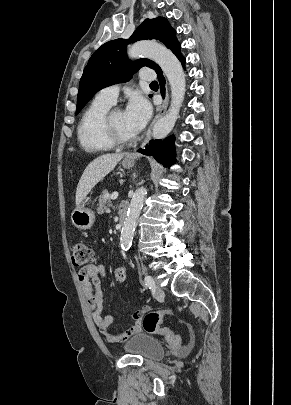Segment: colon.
Here are the masks:
<instances>
[{
  "label": "colon",
  "mask_w": 291,
  "mask_h": 405,
  "mask_svg": "<svg viewBox=\"0 0 291 405\" xmlns=\"http://www.w3.org/2000/svg\"><path fill=\"white\" fill-rule=\"evenodd\" d=\"M94 249L84 241H75L71 245V259L75 267H85L91 265L94 261ZM114 280L117 283H124L126 280V271L122 266L116 267L113 272ZM170 309L151 311L146 313L142 318L143 329L150 333L162 336L166 342L179 348L182 346V339L167 327H161L160 324L163 318L170 315Z\"/></svg>",
  "instance_id": "obj_1"
}]
</instances>
